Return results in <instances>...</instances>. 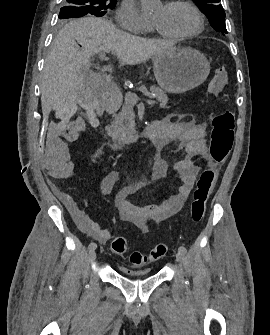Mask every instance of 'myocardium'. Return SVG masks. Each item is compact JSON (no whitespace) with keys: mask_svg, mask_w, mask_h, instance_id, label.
Instances as JSON below:
<instances>
[{"mask_svg":"<svg viewBox=\"0 0 270 335\" xmlns=\"http://www.w3.org/2000/svg\"><path fill=\"white\" fill-rule=\"evenodd\" d=\"M187 5L191 10L192 12L194 13V15L196 16V19H197V26L194 30L190 31V32H187V33H183V34H177V35H171V34H165L163 32H161L160 30H158L155 26V29L158 31V33L160 35H162L163 37H166V38H174V39H178V40H185V39H189V38H192L194 36H196L197 34H199L203 28H204V19H203V16L201 15V13L199 12V10L197 9V7L190 1H174V2H170L168 4L169 7H177L179 5ZM180 52H197L193 49H188V48H185V49H182ZM198 78H205V77H198Z\"/></svg>","mask_w":270,"mask_h":335,"instance_id":"obj_1","label":"myocardium"}]
</instances>
